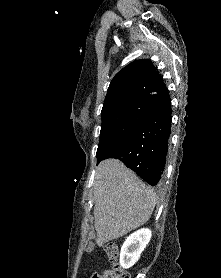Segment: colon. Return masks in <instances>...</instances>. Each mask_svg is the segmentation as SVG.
Returning a JSON list of instances; mask_svg holds the SVG:
<instances>
[{"instance_id":"1","label":"colon","mask_w":221,"mask_h":278,"mask_svg":"<svg viewBox=\"0 0 221 278\" xmlns=\"http://www.w3.org/2000/svg\"><path fill=\"white\" fill-rule=\"evenodd\" d=\"M105 252L113 267L101 272L96 271L92 274L91 278H130L129 274L121 269L118 264L119 251L117 245L115 243H107L105 245Z\"/></svg>"}]
</instances>
